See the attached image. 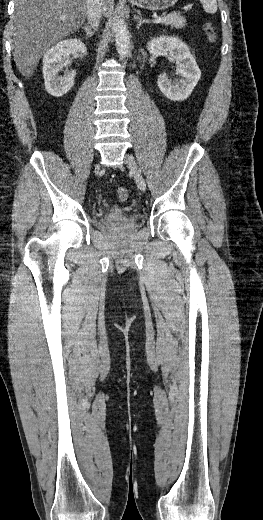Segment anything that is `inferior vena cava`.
<instances>
[{
  "label": "inferior vena cava",
  "instance_id": "602c4592",
  "mask_svg": "<svg viewBox=\"0 0 263 520\" xmlns=\"http://www.w3.org/2000/svg\"><path fill=\"white\" fill-rule=\"evenodd\" d=\"M87 17L91 27L97 29L102 15V0H86Z\"/></svg>",
  "mask_w": 263,
  "mask_h": 520
}]
</instances>
